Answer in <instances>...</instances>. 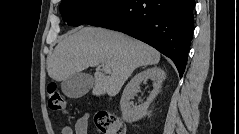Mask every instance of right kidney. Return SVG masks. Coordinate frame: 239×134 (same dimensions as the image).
Segmentation results:
<instances>
[{"label":"right kidney","instance_id":"ca27d5eb","mask_svg":"<svg viewBox=\"0 0 239 134\" xmlns=\"http://www.w3.org/2000/svg\"><path fill=\"white\" fill-rule=\"evenodd\" d=\"M165 77L166 74L161 68L152 67L139 72L132 78V80L126 85L120 100L122 116L126 122L132 123L138 121L147 114L149 104L158 94ZM148 79H151L153 82L152 92L144 104L134 106L130 100L140 88V84Z\"/></svg>","mask_w":239,"mask_h":134}]
</instances>
